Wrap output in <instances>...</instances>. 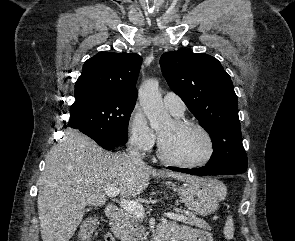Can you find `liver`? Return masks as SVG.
I'll return each mask as SVG.
<instances>
[{
    "label": "liver",
    "mask_w": 295,
    "mask_h": 241,
    "mask_svg": "<svg viewBox=\"0 0 295 241\" xmlns=\"http://www.w3.org/2000/svg\"><path fill=\"white\" fill-rule=\"evenodd\" d=\"M150 175L186 182L200 180L181 173L158 172L144 163L135 165L123 154L107 152L87 136L67 130L48 152L39 180L42 240L69 241L83 220L85 207L105 204L106 188L116 187L122 196L134 197L148 187Z\"/></svg>",
    "instance_id": "liver-1"
}]
</instances>
